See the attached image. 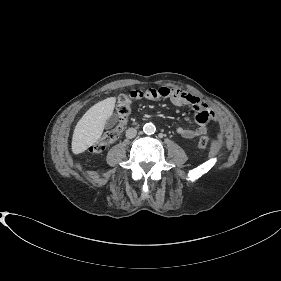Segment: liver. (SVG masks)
Returning <instances> with one entry per match:
<instances>
[{
  "label": "liver",
  "mask_w": 281,
  "mask_h": 281,
  "mask_svg": "<svg viewBox=\"0 0 281 281\" xmlns=\"http://www.w3.org/2000/svg\"><path fill=\"white\" fill-rule=\"evenodd\" d=\"M115 103V97L106 98L93 105L82 116L72 137L71 149L73 154L83 153L100 139L107 119L113 114Z\"/></svg>",
  "instance_id": "6515ba94"
}]
</instances>
